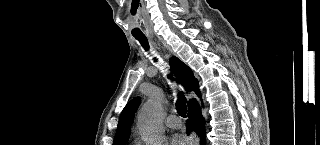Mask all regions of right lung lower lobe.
<instances>
[{"instance_id":"obj_1","label":"right lung lower lobe","mask_w":320,"mask_h":145,"mask_svg":"<svg viewBox=\"0 0 320 145\" xmlns=\"http://www.w3.org/2000/svg\"><path fill=\"white\" fill-rule=\"evenodd\" d=\"M188 117L186 126L187 133L189 134L192 130L200 136V145H205V131H204V118L201 114L200 107L195 101L188 107Z\"/></svg>"}]
</instances>
